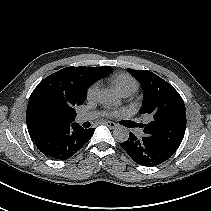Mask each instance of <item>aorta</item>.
<instances>
[{"label":"aorta","mask_w":211,"mask_h":211,"mask_svg":"<svg viewBox=\"0 0 211 211\" xmlns=\"http://www.w3.org/2000/svg\"><path fill=\"white\" fill-rule=\"evenodd\" d=\"M118 100L117 95L110 90H102L99 94V102L104 105H112ZM113 137L117 142L123 143L129 138V130L126 127L119 126L113 131Z\"/></svg>","instance_id":"1"}]
</instances>
